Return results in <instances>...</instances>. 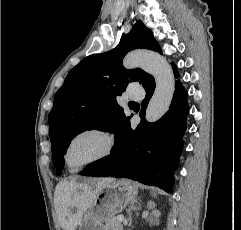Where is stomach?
<instances>
[{"label": "stomach", "instance_id": "1", "mask_svg": "<svg viewBox=\"0 0 241 230\" xmlns=\"http://www.w3.org/2000/svg\"><path fill=\"white\" fill-rule=\"evenodd\" d=\"M137 192V187L128 180L104 183L94 204L83 215L79 230H107L106 222L131 203Z\"/></svg>", "mask_w": 241, "mask_h": 230}]
</instances>
